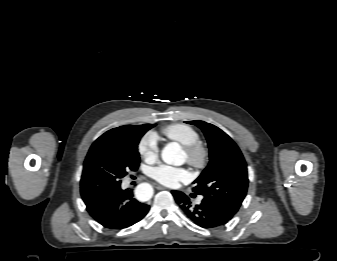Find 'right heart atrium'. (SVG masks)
Returning <instances> with one entry per match:
<instances>
[{
  "label": "right heart atrium",
  "mask_w": 337,
  "mask_h": 261,
  "mask_svg": "<svg viewBox=\"0 0 337 261\" xmlns=\"http://www.w3.org/2000/svg\"><path fill=\"white\" fill-rule=\"evenodd\" d=\"M159 147L154 133H147L139 143V153L148 162H153L158 157Z\"/></svg>",
  "instance_id": "1"
}]
</instances>
